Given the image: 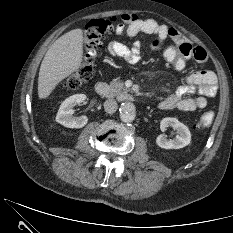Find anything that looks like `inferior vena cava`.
<instances>
[{
    "mask_svg": "<svg viewBox=\"0 0 233 233\" xmlns=\"http://www.w3.org/2000/svg\"><path fill=\"white\" fill-rule=\"evenodd\" d=\"M118 108V104L114 99H108L104 102V109L107 113H114Z\"/></svg>",
    "mask_w": 233,
    "mask_h": 233,
    "instance_id": "1",
    "label": "inferior vena cava"
}]
</instances>
